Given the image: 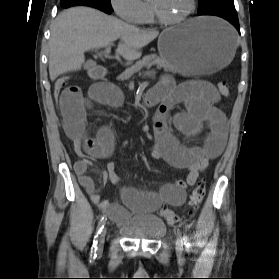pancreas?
<instances>
[{
  "label": "pancreas",
  "instance_id": "1",
  "mask_svg": "<svg viewBox=\"0 0 279 279\" xmlns=\"http://www.w3.org/2000/svg\"><path fill=\"white\" fill-rule=\"evenodd\" d=\"M156 64L158 67L163 68L167 72L176 73L174 67L167 62L164 58L158 57L155 54L148 55L144 57L141 61L137 62L134 66L127 68L123 73H121L117 79L124 81L128 80L135 72L139 71L143 66H151ZM139 68L138 70H136Z\"/></svg>",
  "mask_w": 279,
  "mask_h": 279
}]
</instances>
